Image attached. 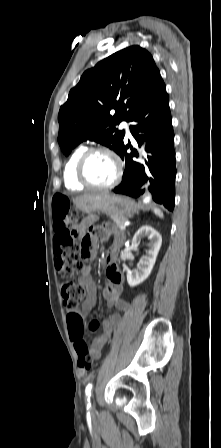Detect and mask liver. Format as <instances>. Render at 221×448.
I'll return each instance as SVG.
<instances>
[{"mask_svg":"<svg viewBox=\"0 0 221 448\" xmlns=\"http://www.w3.org/2000/svg\"><path fill=\"white\" fill-rule=\"evenodd\" d=\"M91 195H93V194H85V195L79 197L78 199H76V201H78L79 199H84V198L89 197Z\"/></svg>","mask_w":221,"mask_h":448,"instance_id":"liver-1","label":"liver"}]
</instances>
